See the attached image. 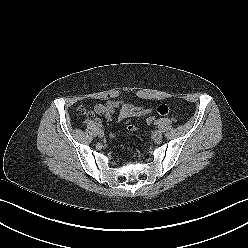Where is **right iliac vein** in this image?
<instances>
[{
	"instance_id": "63e3f726",
	"label": "right iliac vein",
	"mask_w": 248,
	"mask_h": 248,
	"mask_svg": "<svg viewBox=\"0 0 248 248\" xmlns=\"http://www.w3.org/2000/svg\"><path fill=\"white\" fill-rule=\"evenodd\" d=\"M98 136H99L100 138H103V137H104V132H103L102 130H99V131H98Z\"/></svg>"
}]
</instances>
